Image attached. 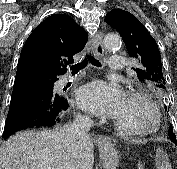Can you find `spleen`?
I'll list each match as a JSON object with an SVG mask.
<instances>
[{
    "label": "spleen",
    "mask_w": 177,
    "mask_h": 169,
    "mask_svg": "<svg viewBox=\"0 0 177 169\" xmlns=\"http://www.w3.org/2000/svg\"><path fill=\"white\" fill-rule=\"evenodd\" d=\"M156 169H172L167 154L158 148L156 150Z\"/></svg>",
    "instance_id": "obj_1"
}]
</instances>
